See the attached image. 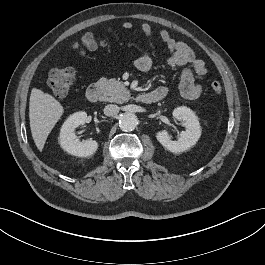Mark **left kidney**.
<instances>
[{"mask_svg": "<svg viewBox=\"0 0 265 265\" xmlns=\"http://www.w3.org/2000/svg\"><path fill=\"white\" fill-rule=\"evenodd\" d=\"M173 116L186 128L182 131L177 141H172L168 136V132L163 130L156 134L159 143L167 150L173 153L183 152L194 146L201 136V127L198 117L188 107L180 106L174 109Z\"/></svg>", "mask_w": 265, "mask_h": 265, "instance_id": "1", "label": "left kidney"}]
</instances>
